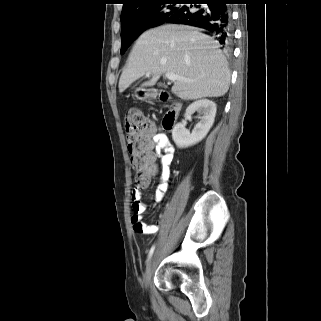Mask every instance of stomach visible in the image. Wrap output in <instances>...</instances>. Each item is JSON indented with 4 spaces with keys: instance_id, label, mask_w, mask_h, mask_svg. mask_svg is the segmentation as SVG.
Wrapping results in <instances>:
<instances>
[{
    "instance_id": "obj_1",
    "label": "stomach",
    "mask_w": 321,
    "mask_h": 321,
    "mask_svg": "<svg viewBox=\"0 0 321 321\" xmlns=\"http://www.w3.org/2000/svg\"><path fill=\"white\" fill-rule=\"evenodd\" d=\"M136 96H137L138 98L142 99V98L147 97V96H148V93L145 92L144 90L138 89V90L136 91Z\"/></svg>"
}]
</instances>
